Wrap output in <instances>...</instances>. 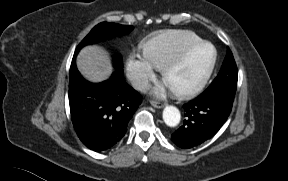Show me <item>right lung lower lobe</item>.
<instances>
[{
    "label": "right lung lower lobe",
    "instance_id": "98d812e1",
    "mask_svg": "<svg viewBox=\"0 0 288 181\" xmlns=\"http://www.w3.org/2000/svg\"><path fill=\"white\" fill-rule=\"evenodd\" d=\"M142 98L113 73L102 83H90L79 74L75 60L69 72V104L74 129L88 148L100 152L116 146Z\"/></svg>",
    "mask_w": 288,
    "mask_h": 181
}]
</instances>
